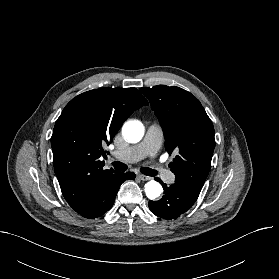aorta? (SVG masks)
Masks as SVG:
<instances>
[{
	"label": "aorta",
	"mask_w": 279,
	"mask_h": 279,
	"mask_svg": "<svg viewBox=\"0 0 279 279\" xmlns=\"http://www.w3.org/2000/svg\"><path fill=\"white\" fill-rule=\"evenodd\" d=\"M122 134L128 142L137 143L144 135V126L141 122L136 120L127 121L122 127ZM162 192V186L154 180L145 184L146 196L151 200L159 197Z\"/></svg>",
	"instance_id": "1"
}]
</instances>
